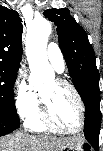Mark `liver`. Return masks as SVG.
Segmentation results:
<instances>
[{"instance_id": "liver-1", "label": "liver", "mask_w": 103, "mask_h": 151, "mask_svg": "<svg viewBox=\"0 0 103 151\" xmlns=\"http://www.w3.org/2000/svg\"><path fill=\"white\" fill-rule=\"evenodd\" d=\"M77 139L52 136L37 137L17 132L0 139V151H55L62 143Z\"/></svg>"}]
</instances>
